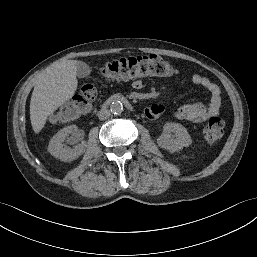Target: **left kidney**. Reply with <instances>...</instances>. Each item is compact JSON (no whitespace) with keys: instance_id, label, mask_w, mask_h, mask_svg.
Instances as JSON below:
<instances>
[{"instance_id":"5707ae66","label":"left kidney","mask_w":257,"mask_h":257,"mask_svg":"<svg viewBox=\"0 0 257 257\" xmlns=\"http://www.w3.org/2000/svg\"><path fill=\"white\" fill-rule=\"evenodd\" d=\"M175 134V138L172 136ZM192 139L187 129L178 123L167 122L163 127V133L158 138V144L169 152H177L190 146Z\"/></svg>"}]
</instances>
